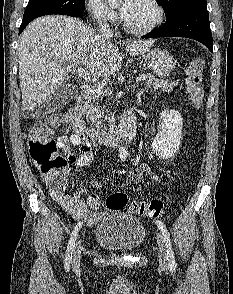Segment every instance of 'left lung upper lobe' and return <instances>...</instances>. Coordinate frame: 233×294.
<instances>
[{
    "label": "left lung upper lobe",
    "instance_id": "5c2ea615",
    "mask_svg": "<svg viewBox=\"0 0 233 294\" xmlns=\"http://www.w3.org/2000/svg\"><path fill=\"white\" fill-rule=\"evenodd\" d=\"M162 5L166 17L171 16L177 10L193 6L206 8V0H156Z\"/></svg>",
    "mask_w": 233,
    "mask_h": 294
}]
</instances>
